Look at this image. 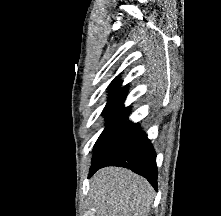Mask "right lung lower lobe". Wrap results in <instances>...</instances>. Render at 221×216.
<instances>
[{"label":"right lung lower lobe","instance_id":"obj_1","mask_svg":"<svg viewBox=\"0 0 221 216\" xmlns=\"http://www.w3.org/2000/svg\"><path fill=\"white\" fill-rule=\"evenodd\" d=\"M106 166H120L131 169L145 177L157 189L156 154L145 134L134 144L117 153L105 163L91 166L88 177H91L98 169Z\"/></svg>","mask_w":221,"mask_h":216}]
</instances>
